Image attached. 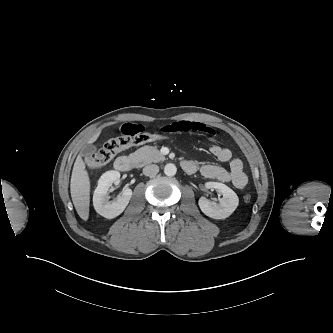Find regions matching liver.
<instances>
[{
	"label": "liver",
	"mask_w": 333,
	"mask_h": 333,
	"mask_svg": "<svg viewBox=\"0 0 333 333\" xmlns=\"http://www.w3.org/2000/svg\"><path fill=\"white\" fill-rule=\"evenodd\" d=\"M101 131H98L90 140L93 143L99 137ZM71 198L74 207L81 219L87 221L89 218L90 210V179L87 171L85 170V163L78 155L72 170L70 181Z\"/></svg>",
	"instance_id": "liver-1"
}]
</instances>
